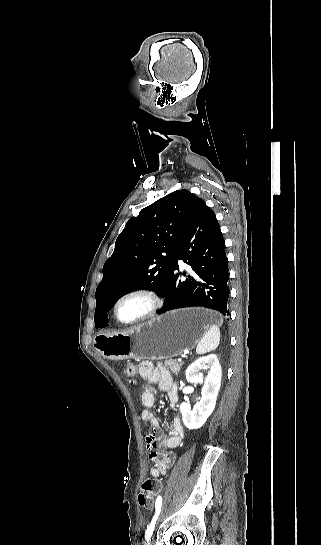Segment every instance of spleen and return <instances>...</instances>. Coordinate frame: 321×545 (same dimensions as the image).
<instances>
[{"label": "spleen", "mask_w": 321, "mask_h": 545, "mask_svg": "<svg viewBox=\"0 0 321 545\" xmlns=\"http://www.w3.org/2000/svg\"><path fill=\"white\" fill-rule=\"evenodd\" d=\"M220 343V329L218 325H212L209 331L205 333L201 341H199L196 349L197 355H204V353H210L215 351L219 347Z\"/></svg>", "instance_id": "obj_1"}]
</instances>
